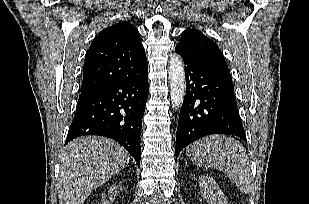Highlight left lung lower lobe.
Returning a JSON list of instances; mask_svg holds the SVG:
<instances>
[{"label":"left lung lower lobe","mask_w":309,"mask_h":204,"mask_svg":"<svg viewBox=\"0 0 309 204\" xmlns=\"http://www.w3.org/2000/svg\"><path fill=\"white\" fill-rule=\"evenodd\" d=\"M181 56L186 96L178 121L176 156L185 146L211 134H230L246 140L230 74Z\"/></svg>","instance_id":"obj_1"}]
</instances>
